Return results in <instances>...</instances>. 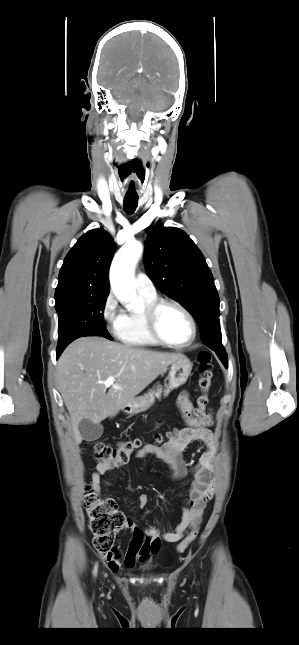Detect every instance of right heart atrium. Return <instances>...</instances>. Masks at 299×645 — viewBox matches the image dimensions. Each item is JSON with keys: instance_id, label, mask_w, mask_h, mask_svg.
<instances>
[{"instance_id": "d8ad5b80", "label": "right heart atrium", "mask_w": 299, "mask_h": 645, "mask_svg": "<svg viewBox=\"0 0 299 645\" xmlns=\"http://www.w3.org/2000/svg\"><path fill=\"white\" fill-rule=\"evenodd\" d=\"M101 316L107 331L112 335H117L122 324L123 314L119 309L117 299L111 292L104 299Z\"/></svg>"}]
</instances>
